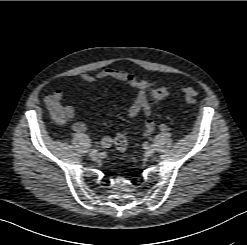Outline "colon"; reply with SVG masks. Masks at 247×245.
<instances>
[{
  "mask_svg": "<svg viewBox=\"0 0 247 245\" xmlns=\"http://www.w3.org/2000/svg\"><path fill=\"white\" fill-rule=\"evenodd\" d=\"M183 92L189 103H193L198 97V92L191 87H185ZM149 95L153 102H159L167 95V90L163 87L154 88L149 91ZM114 144L121 153L127 150V139L122 133L116 134Z\"/></svg>",
  "mask_w": 247,
  "mask_h": 245,
  "instance_id": "1",
  "label": "colon"
}]
</instances>
